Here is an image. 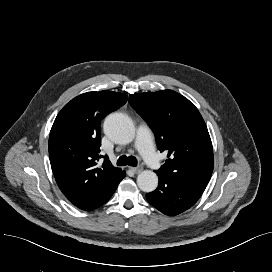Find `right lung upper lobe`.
Segmentation results:
<instances>
[{"label": "right lung upper lobe", "instance_id": "cb5924a9", "mask_svg": "<svg viewBox=\"0 0 272 272\" xmlns=\"http://www.w3.org/2000/svg\"><path fill=\"white\" fill-rule=\"evenodd\" d=\"M127 95L87 92L67 103L49 136V158L55 180L71 203L86 209L102 198L123 176L108 157L100 166L101 120L126 103Z\"/></svg>", "mask_w": 272, "mask_h": 272}]
</instances>
